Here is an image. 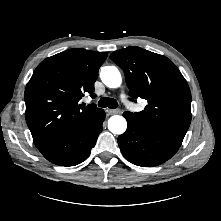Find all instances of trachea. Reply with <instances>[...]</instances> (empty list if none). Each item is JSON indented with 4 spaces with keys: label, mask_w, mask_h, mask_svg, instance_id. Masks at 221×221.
<instances>
[{
    "label": "trachea",
    "mask_w": 221,
    "mask_h": 221,
    "mask_svg": "<svg viewBox=\"0 0 221 221\" xmlns=\"http://www.w3.org/2000/svg\"><path fill=\"white\" fill-rule=\"evenodd\" d=\"M99 107H108L110 109H116L118 107V103L113 98L102 97L98 102Z\"/></svg>",
    "instance_id": "obj_1"
}]
</instances>
